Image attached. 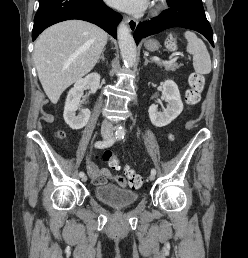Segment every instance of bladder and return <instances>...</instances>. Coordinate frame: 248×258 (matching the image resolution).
<instances>
[{"label":"bladder","mask_w":248,"mask_h":258,"mask_svg":"<svg viewBox=\"0 0 248 258\" xmlns=\"http://www.w3.org/2000/svg\"><path fill=\"white\" fill-rule=\"evenodd\" d=\"M95 197L102 203L113 208H124L135 204L140 195L138 192L118 187L111 183L97 185L94 188Z\"/></svg>","instance_id":"bladder-1"}]
</instances>
